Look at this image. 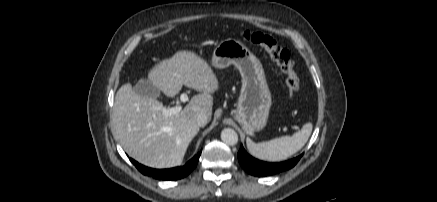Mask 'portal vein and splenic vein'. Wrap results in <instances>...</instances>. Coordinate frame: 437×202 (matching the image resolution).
I'll return each mask as SVG.
<instances>
[{
  "label": "portal vein and splenic vein",
  "mask_w": 437,
  "mask_h": 202,
  "mask_svg": "<svg viewBox=\"0 0 437 202\" xmlns=\"http://www.w3.org/2000/svg\"><path fill=\"white\" fill-rule=\"evenodd\" d=\"M180 100L182 101V102H186V101H188V95L186 94V93H182L181 95H180ZM182 110V107L180 106V105H177V106H175V107H172V108H165V109H163V115H165V116H171V115H176V114H178L180 111Z\"/></svg>",
  "instance_id": "18ae733b"
}]
</instances>
